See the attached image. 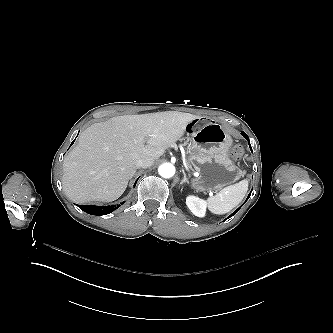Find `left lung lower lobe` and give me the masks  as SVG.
I'll list each match as a JSON object with an SVG mask.
<instances>
[{
  "instance_id": "obj_1",
  "label": "left lung lower lobe",
  "mask_w": 333,
  "mask_h": 333,
  "mask_svg": "<svg viewBox=\"0 0 333 333\" xmlns=\"http://www.w3.org/2000/svg\"><path fill=\"white\" fill-rule=\"evenodd\" d=\"M242 135L244 136V138H246L247 140H248V142H249V138H248V136L244 133V132H242ZM249 146H250V148H251V145H250V143H249ZM251 150H252V148H251ZM251 194V193H250ZM250 194H249V196L247 197V199L250 197ZM247 199H246V201H247ZM241 207V206H240ZM240 207L233 213V214H231L228 218H230L231 216H233V215H235L236 214V212L240 209Z\"/></svg>"
}]
</instances>
